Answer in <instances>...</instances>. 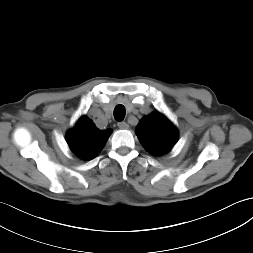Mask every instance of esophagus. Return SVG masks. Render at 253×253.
<instances>
[{
	"instance_id": "obj_1",
	"label": "esophagus",
	"mask_w": 253,
	"mask_h": 253,
	"mask_svg": "<svg viewBox=\"0 0 253 253\" xmlns=\"http://www.w3.org/2000/svg\"><path fill=\"white\" fill-rule=\"evenodd\" d=\"M117 125L120 129H128L129 128V125L126 122H118Z\"/></svg>"
}]
</instances>
